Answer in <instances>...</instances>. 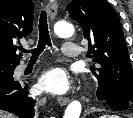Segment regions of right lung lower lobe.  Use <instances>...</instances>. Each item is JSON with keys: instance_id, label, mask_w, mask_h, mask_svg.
<instances>
[{"instance_id": "98d812e1", "label": "right lung lower lobe", "mask_w": 133, "mask_h": 118, "mask_svg": "<svg viewBox=\"0 0 133 118\" xmlns=\"http://www.w3.org/2000/svg\"><path fill=\"white\" fill-rule=\"evenodd\" d=\"M36 99L29 95L28 85L16 81L0 83V109L20 118H33Z\"/></svg>"}]
</instances>
